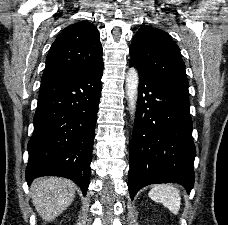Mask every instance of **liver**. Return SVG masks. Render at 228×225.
<instances>
[{
    "label": "liver",
    "mask_w": 228,
    "mask_h": 225,
    "mask_svg": "<svg viewBox=\"0 0 228 225\" xmlns=\"http://www.w3.org/2000/svg\"><path fill=\"white\" fill-rule=\"evenodd\" d=\"M32 203L43 221H54L75 199L76 187L69 179L40 177L31 185Z\"/></svg>",
    "instance_id": "6515ba94"
}]
</instances>
